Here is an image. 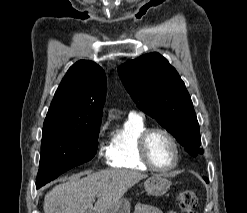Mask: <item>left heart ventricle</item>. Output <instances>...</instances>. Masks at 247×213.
Masks as SVG:
<instances>
[{"instance_id": "left-heart-ventricle-1", "label": "left heart ventricle", "mask_w": 247, "mask_h": 213, "mask_svg": "<svg viewBox=\"0 0 247 213\" xmlns=\"http://www.w3.org/2000/svg\"><path fill=\"white\" fill-rule=\"evenodd\" d=\"M148 154L158 167H169L174 161V150L170 140L162 133H154L148 140Z\"/></svg>"}]
</instances>
